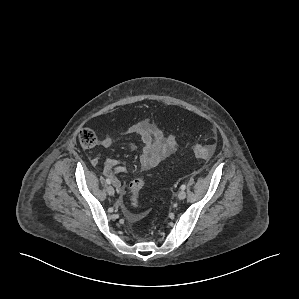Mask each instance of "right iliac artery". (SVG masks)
<instances>
[{
	"label": "right iliac artery",
	"mask_w": 299,
	"mask_h": 299,
	"mask_svg": "<svg viewBox=\"0 0 299 299\" xmlns=\"http://www.w3.org/2000/svg\"><path fill=\"white\" fill-rule=\"evenodd\" d=\"M106 183H107V184H111V180L107 178V179H106Z\"/></svg>",
	"instance_id": "obj_1"
}]
</instances>
